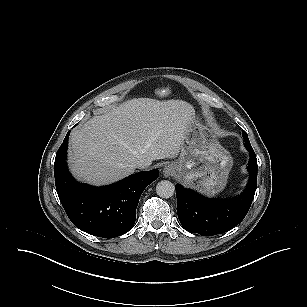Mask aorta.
Listing matches in <instances>:
<instances>
[{
	"label": "aorta",
	"instance_id": "obj_1",
	"mask_svg": "<svg viewBox=\"0 0 307 307\" xmlns=\"http://www.w3.org/2000/svg\"><path fill=\"white\" fill-rule=\"evenodd\" d=\"M157 195L161 198H170L174 195L175 186L168 180L158 182L156 186Z\"/></svg>",
	"mask_w": 307,
	"mask_h": 307
}]
</instances>
